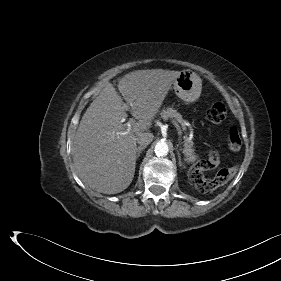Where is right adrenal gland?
<instances>
[{"label":"right adrenal gland","mask_w":281,"mask_h":281,"mask_svg":"<svg viewBox=\"0 0 281 281\" xmlns=\"http://www.w3.org/2000/svg\"><path fill=\"white\" fill-rule=\"evenodd\" d=\"M144 149H145L144 146H143V147L139 146V147L137 148V155H136V158H139L140 154L142 153V151H143Z\"/></svg>","instance_id":"obj_1"}]
</instances>
